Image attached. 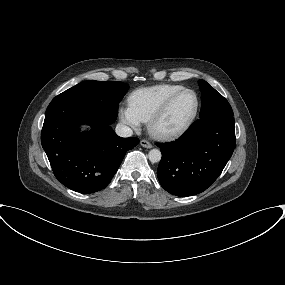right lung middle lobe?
<instances>
[{"instance_id":"1","label":"right lung middle lobe","mask_w":285,"mask_h":285,"mask_svg":"<svg viewBox=\"0 0 285 285\" xmlns=\"http://www.w3.org/2000/svg\"><path fill=\"white\" fill-rule=\"evenodd\" d=\"M127 91L128 84L123 82L88 80L71 87L56 97L76 100L103 113L117 116L119 102Z\"/></svg>"}]
</instances>
